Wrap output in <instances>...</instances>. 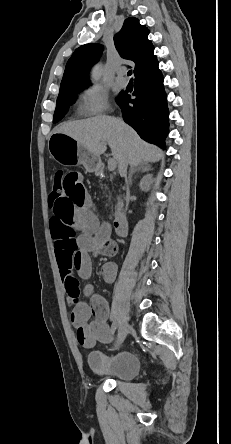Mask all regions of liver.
Instances as JSON below:
<instances>
[{"mask_svg":"<svg viewBox=\"0 0 231 444\" xmlns=\"http://www.w3.org/2000/svg\"><path fill=\"white\" fill-rule=\"evenodd\" d=\"M54 133L72 137L98 157L106 151L108 144L119 168L124 163L137 166L157 162L164 156L161 149L143 141L122 120L110 116L65 122L57 126Z\"/></svg>","mask_w":231,"mask_h":444,"instance_id":"obj_1","label":"liver"}]
</instances>
